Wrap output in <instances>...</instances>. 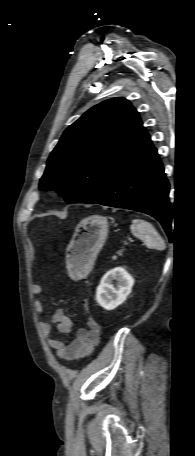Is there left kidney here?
Instances as JSON below:
<instances>
[{"mask_svg": "<svg viewBox=\"0 0 195 456\" xmlns=\"http://www.w3.org/2000/svg\"><path fill=\"white\" fill-rule=\"evenodd\" d=\"M113 280L117 282L116 287ZM133 285V277L124 268L116 267L102 277L96 290V301L104 309L113 310L126 300Z\"/></svg>", "mask_w": 195, "mask_h": 456, "instance_id": "5707ae66", "label": "left kidney"}]
</instances>
